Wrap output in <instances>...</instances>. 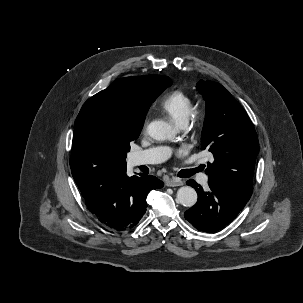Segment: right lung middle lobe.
<instances>
[{
  "instance_id": "dd1d6c3e",
  "label": "right lung middle lobe",
  "mask_w": 303,
  "mask_h": 303,
  "mask_svg": "<svg viewBox=\"0 0 303 303\" xmlns=\"http://www.w3.org/2000/svg\"><path fill=\"white\" fill-rule=\"evenodd\" d=\"M138 136L139 134H131L113 123L104 124L100 130L102 142L124 158L130 150V142ZM71 171L78 188H81L90 179V175L85 171L79 169H71Z\"/></svg>"
}]
</instances>
